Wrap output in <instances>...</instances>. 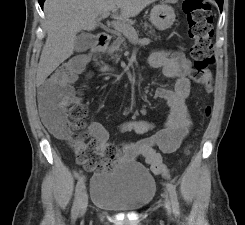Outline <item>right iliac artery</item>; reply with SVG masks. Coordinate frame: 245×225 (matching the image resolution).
Masks as SVG:
<instances>
[{
	"instance_id": "82829eb1",
	"label": "right iliac artery",
	"mask_w": 245,
	"mask_h": 225,
	"mask_svg": "<svg viewBox=\"0 0 245 225\" xmlns=\"http://www.w3.org/2000/svg\"><path fill=\"white\" fill-rule=\"evenodd\" d=\"M85 176H81L77 182L75 189V200L72 206L71 217L75 219L79 213V203L81 197V191L85 187Z\"/></svg>"
}]
</instances>
